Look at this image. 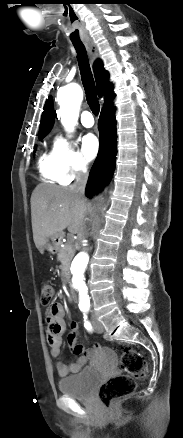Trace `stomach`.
Returning <instances> with one entry per match:
<instances>
[{
    "label": "stomach",
    "mask_w": 183,
    "mask_h": 438,
    "mask_svg": "<svg viewBox=\"0 0 183 438\" xmlns=\"http://www.w3.org/2000/svg\"><path fill=\"white\" fill-rule=\"evenodd\" d=\"M61 238H62L61 235L50 237L45 245V248L49 252L55 253L59 249V244H60Z\"/></svg>",
    "instance_id": "stomach-1"
}]
</instances>
